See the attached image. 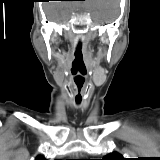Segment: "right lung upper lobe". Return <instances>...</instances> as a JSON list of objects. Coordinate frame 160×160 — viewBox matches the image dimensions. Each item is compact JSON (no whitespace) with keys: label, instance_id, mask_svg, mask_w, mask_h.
Instances as JSON below:
<instances>
[{"label":"right lung upper lobe","instance_id":"obj_1","mask_svg":"<svg viewBox=\"0 0 160 160\" xmlns=\"http://www.w3.org/2000/svg\"><path fill=\"white\" fill-rule=\"evenodd\" d=\"M35 160H46L42 155H38Z\"/></svg>","mask_w":160,"mask_h":160}]
</instances>
